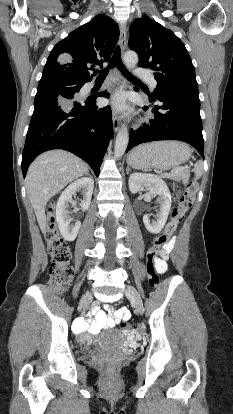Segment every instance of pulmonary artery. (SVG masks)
I'll use <instances>...</instances> for the list:
<instances>
[{"mask_svg": "<svg viewBox=\"0 0 233 414\" xmlns=\"http://www.w3.org/2000/svg\"><path fill=\"white\" fill-rule=\"evenodd\" d=\"M136 75L142 79L147 80L152 88H156L157 82L149 71L138 69L136 70Z\"/></svg>", "mask_w": 233, "mask_h": 414, "instance_id": "pulmonary-artery-1", "label": "pulmonary artery"}]
</instances>
